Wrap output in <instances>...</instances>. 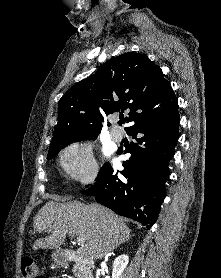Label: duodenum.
Masks as SVG:
<instances>
[{"mask_svg": "<svg viewBox=\"0 0 221 278\" xmlns=\"http://www.w3.org/2000/svg\"><path fill=\"white\" fill-rule=\"evenodd\" d=\"M66 257L73 260L74 268L79 272L80 278H92L91 270L93 267L92 261L88 259H80L75 257L72 250H65Z\"/></svg>", "mask_w": 221, "mask_h": 278, "instance_id": "obj_1", "label": "duodenum"}]
</instances>
